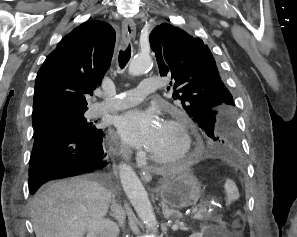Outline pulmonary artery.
I'll return each instance as SVG.
<instances>
[{"mask_svg":"<svg viewBox=\"0 0 297 237\" xmlns=\"http://www.w3.org/2000/svg\"><path fill=\"white\" fill-rule=\"evenodd\" d=\"M161 82L162 80L159 78L146 77L136 89L120 93L114 99H107L104 102L95 104L93 112L94 114H99L135 106L145 97L155 93Z\"/></svg>","mask_w":297,"mask_h":237,"instance_id":"pulmonary-artery-1","label":"pulmonary artery"}]
</instances>
